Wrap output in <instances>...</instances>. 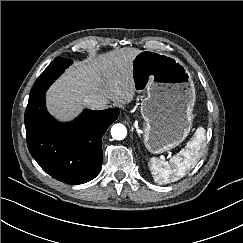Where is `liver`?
<instances>
[{
  "label": "liver",
  "mask_w": 243,
  "mask_h": 243,
  "mask_svg": "<svg viewBox=\"0 0 243 243\" xmlns=\"http://www.w3.org/2000/svg\"><path fill=\"white\" fill-rule=\"evenodd\" d=\"M141 50L124 47L76 62L48 90L47 109L61 121L74 118L85 105V98L98 93L118 104L133 100L136 87L132 62Z\"/></svg>",
  "instance_id": "6515ba94"
}]
</instances>
